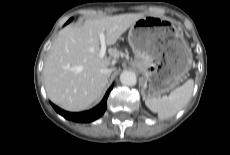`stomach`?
<instances>
[{
	"label": "stomach",
	"mask_w": 230,
	"mask_h": 155,
	"mask_svg": "<svg viewBox=\"0 0 230 155\" xmlns=\"http://www.w3.org/2000/svg\"><path fill=\"white\" fill-rule=\"evenodd\" d=\"M128 41L135 55L134 65L144 77V99L158 98L186 76L192 63L191 49L179 27L156 16L137 20L130 28Z\"/></svg>",
	"instance_id": "0dacf381"
}]
</instances>
